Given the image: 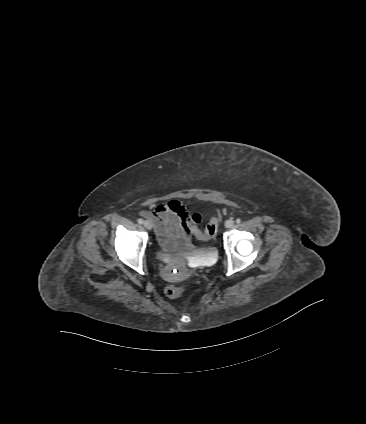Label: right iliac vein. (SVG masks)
Returning a JSON list of instances; mask_svg holds the SVG:
<instances>
[{
  "mask_svg": "<svg viewBox=\"0 0 366 424\" xmlns=\"http://www.w3.org/2000/svg\"><path fill=\"white\" fill-rule=\"evenodd\" d=\"M144 226H145V228H146V229H148V230H151V229H152V227H153L152 222H151V221H149V220H147V221H145V222H144Z\"/></svg>",
  "mask_w": 366,
  "mask_h": 424,
  "instance_id": "1",
  "label": "right iliac vein"
}]
</instances>
